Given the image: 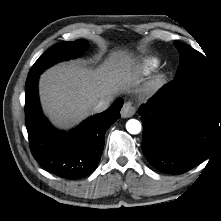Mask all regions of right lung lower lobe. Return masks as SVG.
Listing matches in <instances>:
<instances>
[{
	"mask_svg": "<svg viewBox=\"0 0 221 221\" xmlns=\"http://www.w3.org/2000/svg\"><path fill=\"white\" fill-rule=\"evenodd\" d=\"M38 77L26 81L25 122L34 158L47 171L79 179L92 173L104 148L106 130L120 118L123 100L84 121L71 132H59L43 116L38 98Z\"/></svg>",
	"mask_w": 221,
	"mask_h": 221,
	"instance_id": "1",
	"label": "right lung lower lobe"
}]
</instances>
